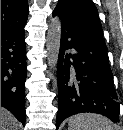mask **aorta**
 I'll list each match as a JSON object with an SVG mask.
<instances>
[{"instance_id": "obj_1", "label": "aorta", "mask_w": 123, "mask_h": 130, "mask_svg": "<svg viewBox=\"0 0 123 130\" xmlns=\"http://www.w3.org/2000/svg\"><path fill=\"white\" fill-rule=\"evenodd\" d=\"M61 21L58 17L51 19L47 32L46 48L48 52V66L50 70L56 69L60 51Z\"/></svg>"}]
</instances>
